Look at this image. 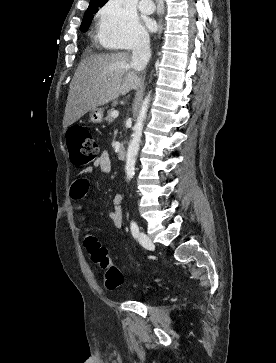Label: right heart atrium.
I'll list each match as a JSON object with an SVG mask.
<instances>
[{
  "label": "right heart atrium",
  "instance_id": "obj_1",
  "mask_svg": "<svg viewBox=\"0 0 276 363\" xmlns=\"http://www.w3.org/2000/svg\"><path fill=\"white\" fill-rule=\"evenodd\" d=\"M98 35L105 45L129 49L144 45L147 33L125 0H108L98 13Z\"/></svg>",
  "mask_w": 276,
  "mask_h": 363
}]
</instances>
